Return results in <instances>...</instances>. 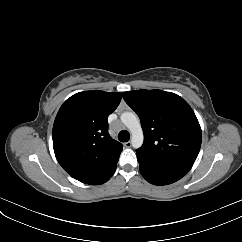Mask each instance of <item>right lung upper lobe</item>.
Returning a JSON list of instances; mask_svg holds the SVG:
<instances>
[{"instance_id":"cb5924a9","label":"right lung upper lobe","mask_w":242,"mask_h":242,"mask_svg":"<svg viewBox=\"0 0 242 242\" xmlns=\"http://www.w3.org/2000/svg\"><path fill=\"white\" fill-rule=\"evenodd\" d=\"M119 92L84 91L68 98L53 125V148L59 164L85 182L120 156L123 145L108 133V115L119 105Z\"/></svg>"}]
</instances>
